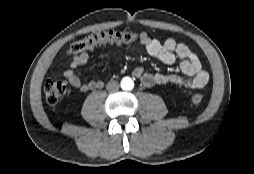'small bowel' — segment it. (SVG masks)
<instances>
[{"label":"small bowel","mask_w":254,"mask_h":174,"mask_svg":"<svg viewBox=\"0 0 254 174\" xmlns=\"http://www.w3.org/2000/svg\"><path fill=\"white\" fill-rule=\"evenodd\" d=\"M139 40L144 47L145 52L156 60L166 65H173L179 61V70L177 73H150L142 67H136L133 75L140 80L145 87L155 85L175 84L187 89H201L209 81L208 72L203 68L198 56L190 48L175 39L169 38L161 42L152 38L146 32H141ZM89 60L87 52L74 55L70 68L64 71V76L70 84L81 91L102 88L103 82L92 80L86 82L76 72V69L85 65Z\"/></svg>","instance_id":"c3829d8e"}]
</instances>
